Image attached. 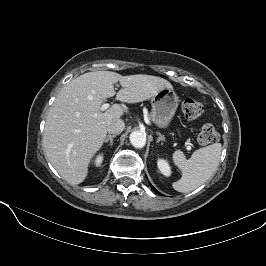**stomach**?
I'll list each match as a JSON object with an SVG mask.
<instances>
[{
  "label": "stomach",
  "mask_w": 266,
  "mask_h": 266,
  "mask_svg": "<svg viewBox=\"0 0 266 266\" xmlns=\"http://www.w3.org/2000/svg\"><path fill=\"white\" fill-rule=\"evenodd\" d=\"M150 118L159 128L169 126L178 107V97L173 89L164 88L151 99Z\"/></svg>",
  "instance_id": "0dacf381"
}]
</instances>
